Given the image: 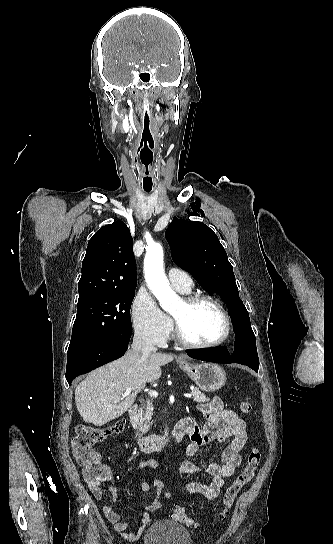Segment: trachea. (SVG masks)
I'll use <instances>...</instances> for the list:
<instances>
[{"label": "trachea", "instance_id": "obj_1", "mask_svg": "<svg viewBox=\"0 0 333 544\" xmlns=\"http://www.w3.org/2000/svg\"><path fill=\"white\" fill-rule=\"evenodd\" d=\"M145 191H146V192H150V191H151V189H145Z\"/></svg>", "mask_w": 333, "mask_h": 544}]
</instances>
